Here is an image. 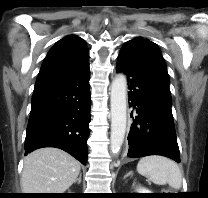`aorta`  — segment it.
<instances>
[{
    "label": "aorta",
    "mask_w": 208,
    "mask_h": 198,
    "mask_svg": "<svg viewBox=\"0 0 208 198\" xmlns=\"http://www.w3.org/2000/svg\"><path fill=\"white\" fill-rule=\"evenodd\" d=\"M111 135L110 150L117 154L123 144L127 122V80L118 74L111 86Z\"/></svg>",
    "instance_id": "obj_1"
}]
</instances>
